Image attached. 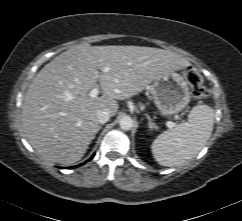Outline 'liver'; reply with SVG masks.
<instances>
[{
  "label": "liver",
  "mask_w": 242,
  "mask_h": 221,
  "mask_svg": "<svg viewBox=\"0 0 242 221\" xmlns=\"http://www.w3.org/2000/svg\"><path fill=\"white\" fill-rule=\"evenodd\" d=\"M189 65L179 54L159 48L75 45L46 64L29 85L22 105L23 132L44 160L73 164L98 132V109L114 116L117 100ZM98 85L102 96L90 97Z\"/></svg>",
  "instance_id": "liver-1"
}]
</instances>
